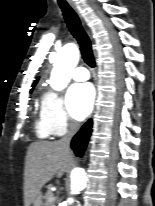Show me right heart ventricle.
Instances as JSON below:
<instances>
[{
  "label": "right heart ventricle",
  "instance_id": "e07e8e85",
  "mask_svg": "<svg viewBox=\"0 0 155 206\" xmlns=\"http://www.w3.org/2000/svg\"><path fill=\"white\" fill-rule=\"evenodd\" d=\"M36 133L40 138H48L51 135L50 130L45 125L42 118L36 123Z\"/></svg>",
  "mask_w": 155,
  "mask_h": 206
}]
</instances>
